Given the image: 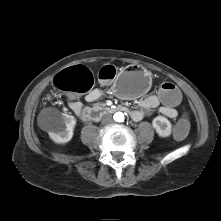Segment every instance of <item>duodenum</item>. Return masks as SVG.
I'll use <instances>...</instances> for the list:
<instances>
[{"label":"duodenum","instance_id":"obj_1","mask_svg":"<svg viewBox=\"0 0 221 221\" xmlns=\"http://www.w3.org/2000/svg\"><path fill=\"white\" fill-rule=\"evenodd\" d=\"M117 111H127V108L123 106H112V107H101L96 106L93 108H88L84 111L82 119L85 121H98L106 114H112Z\"/></svg>","mask_w":221,"mask_h":221}]
</instances>
